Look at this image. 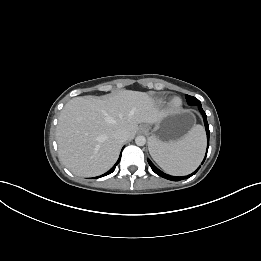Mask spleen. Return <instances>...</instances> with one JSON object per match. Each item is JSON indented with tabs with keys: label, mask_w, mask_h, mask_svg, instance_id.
Here are the masks:
<instances>
[{
	"label": "spleen",
	"mask_w": 261,
	"mask_h": 261,
	"mask_svg": "<svg viewBox=\"0 0 261 261\" xmlns=\"http://www.w3.org/2000/svg\"><path fill=\"white\" fill-rule=\"evenodd\" d=\"M206 147L204 129L196 125L178 141L163 143L150 139L149 152L154 161L168 174L181 176L194 171Z\"/></svg>",
	"instance_id": "spleen-1"
}]
</instances>
